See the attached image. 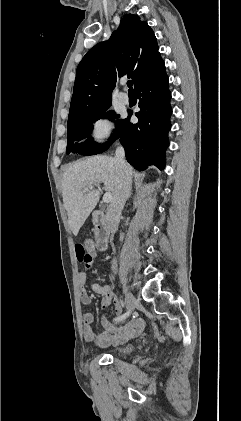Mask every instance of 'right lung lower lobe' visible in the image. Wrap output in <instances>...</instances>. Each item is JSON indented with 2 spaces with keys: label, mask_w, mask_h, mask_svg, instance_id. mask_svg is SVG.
I'll return each mask as SVG.
<instances>
[{
  "label": "right lung lower lobe",
  "mask_w": 241,
  "mask_h": 421,
  "mask_svg": "<svg viewBox=\"0 0 241 421\" xmlns=\"http://www.w3.org/2000/svg\"><path fill=\"white\" fill-rule=\"evenodd\" d=\"M135 91L140 108L135 115L139 121L132 124L129 117L125 119L120 135L126 159L139 171L151 164L162 169L165 166V149L169 144L167 134L171 128L172 108L168 76L161 57L137 82Z\"/></svg>",
  "instance_id": "1"
}]
</instances>
